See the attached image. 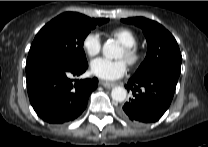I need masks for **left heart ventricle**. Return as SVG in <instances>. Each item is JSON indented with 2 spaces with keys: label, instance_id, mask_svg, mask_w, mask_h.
<instances>
[{
  "label": "left heart ventricle",
  "instance_id": "left-heart-ventricle-1",
  "mask_svg": "<svg viewBox=\"0 0 208 147\" xmlns=\"http://www.w3.org/2000/svg\"><path fill=\"white\" fill-rule=\"evenodd\" d=\"M119 57H120V58H123V59H126V55H125L124 49H122V51H121Z\"/></svg>",
  "mask_w": 208,
  "mask_h": 147
}]
</instances>
